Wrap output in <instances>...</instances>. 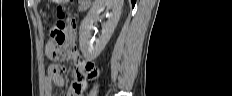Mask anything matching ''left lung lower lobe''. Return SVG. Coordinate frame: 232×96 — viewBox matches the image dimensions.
Segmentation results:
<instances>
[{"label": "left lung lower lobe", "instance_id": "obj_1", "mask_svg": "<svg viewBox=\"0 0 232 96\" xmlns=\"http://www.w3.org/2000/svg\"><path fill=\"white\" fill-rule=\"evenodd\" d=\"M131 2H132V6H134L135 5V0H131Z\"/></svg>", "mask_w": 232, "mask_h": 96}]
</instances>
